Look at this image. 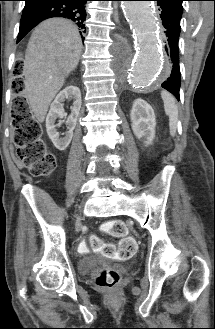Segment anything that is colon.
Listing matches in <instances>:
<instances>
[{
  "instance_id": "obj_1",
  "label": "colon",
  "mask_w": 215,
  "mask_h": 329,
  "mask_svg": "<svg viewBox=\"0 0 215 329\" xmlns=\"http://www.w3.org/2000/svg\"><path fill=\"white\" fill-rule=\"evenodd\" d=\"M13 62H26V55H13ZM21 66H11V73H21ZM13 89L16 96L12 109V128L14 131L13 140L16 146L15 156L31 174L35 177H44L50 175L56 168L57 160L55 155L50 152L43 139L42 127L34 118L24 96V83L21 80L13 81ZM103 231L110 236L120 238L117 246L106 244L100 238L92 236L87 242L80 245V249L85 251L90 245L94 250L107 257H118L128 259L136 252V242L128 235L125 224L120 220L106 222ZM120 281L118 271L114 269H105L96 277V285L104 289H114Z\"/></svg>"
}]
</instances>
